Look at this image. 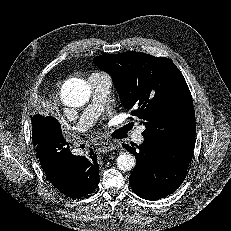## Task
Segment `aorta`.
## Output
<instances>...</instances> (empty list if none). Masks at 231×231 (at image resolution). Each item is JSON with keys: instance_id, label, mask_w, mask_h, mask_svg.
<instances>
[{"instance_id": "1", "label": "aorta", "mask_w": 231, "mask_h": 231, "mask_svg": "<svg viewBox=\"0 0 231 231\" xmlns=\"http://www.w3.org/2000/svg\"><path fill=\"white\" fill-rule=\"evenodd\" d=\"M90 88L86 81L78 78H72L62 85L61 100L69 107H80L88 102L90 98ZM117 167L122 171H131L136 161L132 154L125 152L121 153L117 159Z\"/></svg>"}]
</instances>
